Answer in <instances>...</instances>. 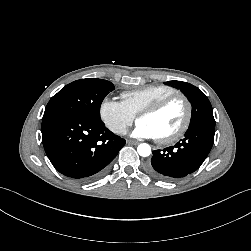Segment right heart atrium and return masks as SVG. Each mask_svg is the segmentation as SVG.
I'll return each instance as SVG.
<instances>
[{
    "label": "right heart atrium",
    "mask_w": 251,
    "mask_h": 251,
    "mask_svg": "<svg viewBox=\"0 0 251 251\" xmlns=\"http://www.w3.org/2000/svg\"><path fill=\"white\" fill-rule=\"evenodd\" d=\"M99 115L105 126L117 135H124L135 119L123 102L112 98L102 100Z\"/></svg>",
    "instance_id": "d8ad5b80"
}]
</instances>
